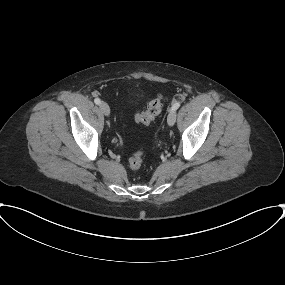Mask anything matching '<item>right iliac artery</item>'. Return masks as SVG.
<instances>
[{
	"label": "right iliac artery",
	"mask_w": 285,
	"mask_h": 285,
	"mask_svg": "<svg viewBox=\"0 0 285 285\" xmlns=\"http://www.w3.org/2000/svg\"><path fill=\"white\" fill-rule=\"evenodd\" d=\"M94 102H95L97 105H99V104L101 103V100H100L99 98H96V99L94 100Z\"/></svg>",
	"instance_id": "1"
}]
</instances>
